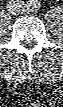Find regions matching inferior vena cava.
Here are the masks:
<instances>
[{"label":"inferior vena cava","mask_w":63,"mask_h":107,"mask_svg":"<svg viewBox=\"0 0 63 107\" xmlns=\"http://www.w3.org/2000/svg\"><path fill=\"white\" fill-rule=\"evenodd\" d=\"M7 10L13 15L23 14L25 12V4L21 1H10L7 3Z\"/></svg>","instance_id":"obj_1"}]
</instances>
